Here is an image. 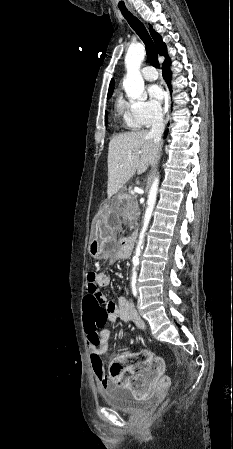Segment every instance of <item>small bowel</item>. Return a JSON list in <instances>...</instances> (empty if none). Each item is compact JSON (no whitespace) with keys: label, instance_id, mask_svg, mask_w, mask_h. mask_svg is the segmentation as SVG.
Wrapping results in <instances>:
<instances>
[{"label":"small bowel","instance_id":"1","mask_svg":"<svg viewBox=\"0 0 233 449\" xmlns=\"http://www.w3.org/2000/svg\"><path fill=\"white\" fill-rule=\"evenodd\" d=\"M126 255L123 248L116 255L117 259ZM86 288L90 291L94 300L100 302L101 307L107 308V322L118 319L133 322L138 328L144 326L143 321L137 316L134 305L128 296L122 295L117 302L109 301L103 295V288L110 284V275L101 270H88L86 276ZM84 327V323H83ZM87 342L90 349V360L94 374L101 389H108L112 385L129 379V389L134 391L135 399H149L151 394H159L157 377H164L163 363H151L152 354L147 350L136 352L124 350L113 359L107 372L103 359L108 353L109 331L106 328H85ZM137 360L140 363L138 375H133L134 370L127 366V362Z\"/></svg>","mask_w":233,"mask_h":449}]
</instances>
